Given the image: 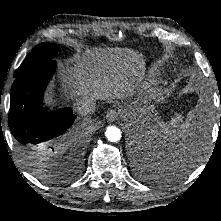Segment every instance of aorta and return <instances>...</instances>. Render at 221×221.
<instances>
[{"label": "aorta", "mask_w": 221, "mask_h": 221, "mask_svg": "<svg viewBox=\"0 0 221 221\" xmlns=\"http://www.w3.org/2000/svg\"><path fill=\"white\" fill-rule=\"evenodd\" d=\"M105 136H106L107 140L110 142H118L122 137V133L119 128H117L115 126H109V127H107V129L105 131ZM140 136L144 137V136H148V134L146 132L142 131Z\"/></svg>", "instance_id": "obj_1"}]
</instances>
